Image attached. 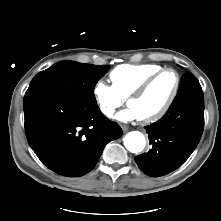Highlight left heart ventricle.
<instances>
[{"label": "left heart ventricle", "mask_w": 221, "mask_h": 221, "mask_svg": "<svg viewBox=\"0 0 221 221\" xmlns=\"http://www.w3.org/2000/svg\"><path fill=\"white\" fill-rule=\"evenodd\" d=\"M174 86V74L165 72L151 84L142 96L129 100L127 104L136 110L140 119L149 117L163 108Z\"/></svg>", "instance_id": "1"}]
</instances>
